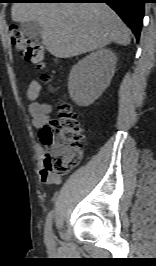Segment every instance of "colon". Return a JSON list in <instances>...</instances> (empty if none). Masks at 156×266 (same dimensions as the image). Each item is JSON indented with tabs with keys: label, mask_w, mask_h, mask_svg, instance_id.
<instances>
[{
	"label": "colon",
	"mask_w": 156,
	"mask_h": 266,
	"mask_svg": "<svg viewBox=\"0 0 156 266\" xmlns=\"http://www.w3.org/2000/svg\"><path fill=\"white\" fill-rule=\"evenodd\" d=\"M9 35L23 60L33 63L38 69L44 68L45 54L39 42L25 37L18 26H12ZM41 79L49 82L50 76L43 73ZM40 137L46 147V172L64 175L78 165L83 154L85 135L81 121L69 103L58 104V117L41 129Z\"/></svg>",
	"instance_id": "obj_1"
}]
</instances>
